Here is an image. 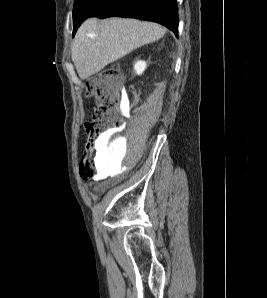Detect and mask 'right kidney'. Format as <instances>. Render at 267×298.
<instances>
[{"label":"right kidney","mask_w":267,"mask_h":298,"mask_svg":"<svg viewBox=\"0 0 267 298\" xmlns=\"http://www.w3.org/2000/svg\"><path fill=\"white\" fill-rule=\"evenodd\" d=\"M146 62L143 60H139L136 61V63L134 64V70L136 72V74L140 75L143 73V71L146 69Z\"/></svg>","instance_id":"obj_1"}]
</instances>
